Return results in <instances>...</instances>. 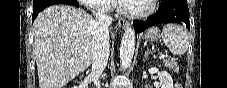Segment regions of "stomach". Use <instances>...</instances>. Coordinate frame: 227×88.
<instances>
[{"instance_id":"1","label":"stomach","mask_w":227,"mask_h":88,"mask_svg":"<svg viewBox=\"0 0 227 88\" xmlns=\"http://www.w3.org/2000/svg\"><path fill=\"white\" fill-rule=\"evenodd\" d=\"M143 37L149 41H157L160 38V32L157 27H152L146 31Z\"/></svg>"}]
</instances>
